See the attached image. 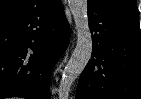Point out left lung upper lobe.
<instances>
[{
  "label": "left lung upper lobe",
  "instance_id": "5c2ea615",
  "mask_svg": "<svg viewBox=\"0 0 141 99\" xmlns=\"http://www.w3.org/2000/svg\"><path fill=\"white\" fill-rule=\"evenodd\" d=\"M88 2L106 7L113 11L137 12L136 0H88Z\"/></svg>",
  "mask_w": 141,
  "mask_h": 99
}]
</instances>
